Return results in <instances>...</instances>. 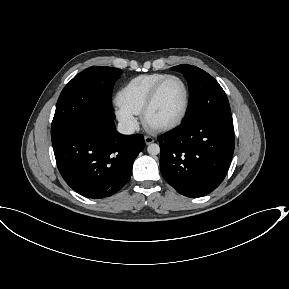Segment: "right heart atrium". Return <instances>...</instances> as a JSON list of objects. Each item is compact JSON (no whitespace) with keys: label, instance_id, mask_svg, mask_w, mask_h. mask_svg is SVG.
I'll use <instances>...</instances> for the list:
<instances>
[{"label":"right heart atrium","instance_id":"d8ad5b80","mask_svg":"<svg viewBox=\"0 0 289 289\" xmlns=\"http://www.w3.org/2000/svg\"><path fill=\"white\" fill-rule=\"evenodd\" d=\"M115 115L121 124L129 131H133L138 126V120L132 112L117 104L115 107Z\"/></svg>","mask_w":289,"mask_h":289}]
</instances>
